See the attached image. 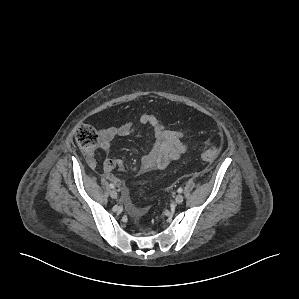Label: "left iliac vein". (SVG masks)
<instances>
[{"label": "left iliac vein", "instance_id": "left-iliac-vein-1", "mask_svg": "<svg viewBox=\"0 0 299 299\" xmlns=\"http://www.w3.org/2000/svg\"><path fill=\"white\" fill-rule=\"evenodd\" d=\"M183 200H184V196L181 195V194H178V195L175 197V202H176L177 204H181V203L183 202Z\"/></svg>", "mask_w": 299, "mask_h": 299}]
</instances>
